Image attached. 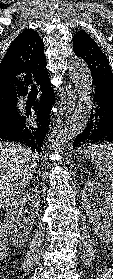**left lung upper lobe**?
I'll use <instances>...</instances> for the list:
<instances>
[{"mask_svg": "<svg viewBox=\"0 0 113 279\" xmlns=\"http://www.w3.org/2000/svg\"><path fill=\"white\" fill-rule=\"evenodd\" d=\"M73 50L88 64L93 79L98 78L113 85V73L108 59L89 34L84 31L77 32L73 36Z\"/></svg>", "mask_w": 113, "mask_h": 279, "instance_id": "left-lung-upper-lobe-1", "label": "left lung upper lobe"}]
</instances>
